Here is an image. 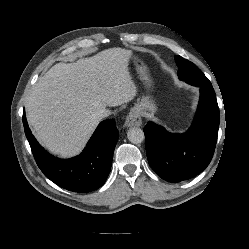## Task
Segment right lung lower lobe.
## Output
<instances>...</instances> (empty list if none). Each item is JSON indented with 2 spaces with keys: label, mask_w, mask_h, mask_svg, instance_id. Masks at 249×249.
<instances>
[{
  "label": "right lung lower lobe",
  "mask_w": 249,
  "mask_h": 249,
  "mask_svg": "<svg viewBox=\"0 0 249 249\" xmlns=\"http://www.w3.org/2000/svg\"><path fill=\"white\" fill-rule=\"evenodd\" d=\"M23 125L38 167L52 182L74 192H90L104 184L118 140L113 119L101 122L83 152L71 159L54 157L40 146L28 127L25 111Z\"/></svg>",
  "instance_id": "98d812e1"
}]
</instances>
